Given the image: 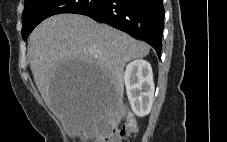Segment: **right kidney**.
Returning a JSON list of instances; mask_svg holds the SVG:
<instances>
[{"label": "right kidney", "mask_w": 227, "mask_h": 142, "mask_svg": "<svg viewBox=\"0 0 227 142\" xmlns=\"http://www.w3.org/2000/svg\"><path fill=\"white\" fill-rule=\"evenodd\" d=\"M124 81L132 111L139 117L148 115L154 100L152 67L145 60H134L126 66Z\"/></svg>", "instance_id": "ca27d5eb"}]
</instances>
